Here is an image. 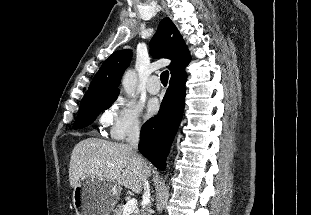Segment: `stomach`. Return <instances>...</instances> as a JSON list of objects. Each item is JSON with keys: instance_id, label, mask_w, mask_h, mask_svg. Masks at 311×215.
I'll return each instance as SVG.
<instances>
[{"instance_id": "1", "label": "stomach", "mask_w": 311, "mask_h": 215, "mask_svg": "<svg viewBox=\"0 0 311 215\" xmlns=\"http://www.w3.org/2000/svg\"><path fill=\"white\" fill-rule=\"evenodd\" d=\"M120 192L116 183L87 176L73 190V205L78 215H109Z\"/></svg>"}]
</instances>
